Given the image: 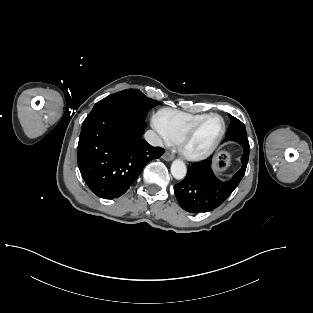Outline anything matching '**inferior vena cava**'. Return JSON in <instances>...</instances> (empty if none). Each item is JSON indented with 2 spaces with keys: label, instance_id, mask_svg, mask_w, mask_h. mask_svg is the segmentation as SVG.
Returning a JSON list of instances; mask_svg holds the SVG:
<instances>
[{
  "label": "inferior vena cava",
  "instance_id": "obj_1",
  "mask_svg": "<svg viewBox=\"0 0 313 313\" xmlns=\"http://www.w3.org/2000/svg\"><path fill=\"white\" fill-rule=\"evenodd\" d=\"M145 140L152 146H162V140L160 137L152 130H148L145 132Z\"/></svg>",
  "mask_w": 313,
  "mask_h": 313
}]
</instances>
